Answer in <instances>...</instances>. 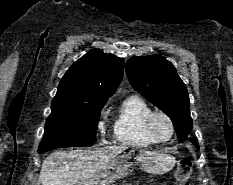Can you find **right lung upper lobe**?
Wrapping results in <instances>:
<instances>
[{
    "label": "right lung upper lobe",
    "instance_id": "right-lung-upper-lobe-1",
    "mask_svg": "<svg viewBox=\"0 0 233 185\" xmlns=\"http://www.w3.org/2000/svg\"><path fill=\"white\" fill-rule=\"evenodd\" d=\"M123 67L122 58L91 50L65 73L55 98L82 102L108 100L122 80Z\"/></svg>",
    "mask_w": 233,
    "mask_h": 185
}]
</instances>
